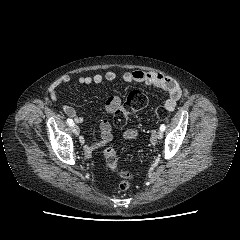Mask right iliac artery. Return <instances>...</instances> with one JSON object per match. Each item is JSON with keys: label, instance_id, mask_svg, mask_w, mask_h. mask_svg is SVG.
I'll return each mask as SVG.
<instances>
[{"label": "right iliac artery", "instance_id": "right-iliac-artery-1", "mask_svg": "<svg viewBox=\"0 0 240 240\" xmlns=\"http://www.w3.org/2000/svg\"><path fill=\"white\" fill-rule=\"evenodd\" d=\"M67 124H68L69 126H74V122H73V120L70 119V118L67 119Z\"/></svg>", "mask_w": 240, "mask_h": 240}]
</instances>
